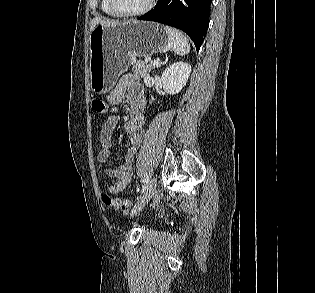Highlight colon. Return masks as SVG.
<instances>
[{"label":"colon","instance_id":"obj_1","mask_svg":"<svg viewBox=\"0 0 315 293\" xmlns=\"http://www.w3.org/2000/svg\"><path fill=\"white\" fill-rule=\"evenodd\" d=\"M92 109L98 114H104L107 111V103L103 99L96 98L92 101ZM102 202L114 210H125L131 205V201L128 199L113 198L106 193L102 195Z\"/></svg>","mask_w":315,"mask_h":293}]
</instances>
